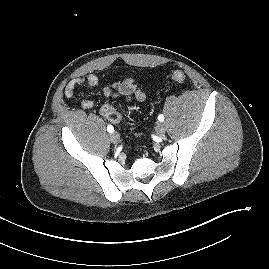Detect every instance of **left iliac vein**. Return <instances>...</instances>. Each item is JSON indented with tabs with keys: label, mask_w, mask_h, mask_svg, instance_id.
<instances>
[{
	"label": "left iliac vein",
	"mask_w": 269,
	"mask_h": 269,
	"mask_svg": "<svg viewBox=\"0 0 269 269\" xmlns=\"http://www.w3.org/2000/svg\"><path fill=\"white\" fill-rule=\"evenodd\" d=\"M156 133L160 136V137H163L165 135V132H166V127H165V124L163 122H159L157 125H156Z\"/></svg>",
	"instance_id": "4c4485c4"
}]
</instances>
